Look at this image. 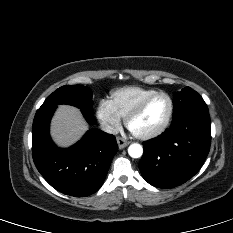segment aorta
Instances as JSON below:
<instances>
[{"instance_id":"1","label":"aorta","mask_w":233,"mask_h":233,"mask_svg":"<svg viewBox=\"0 0 233 233\" xmlns=\"http://www.w3.org/2000/svg\"><path fill=\"white\" fill-rule=\"evenodd\" d=\"M128 154L132 158H140L143 155V148L140 144L134 143L128 147Z\"/></svg>"}]
</instances>
